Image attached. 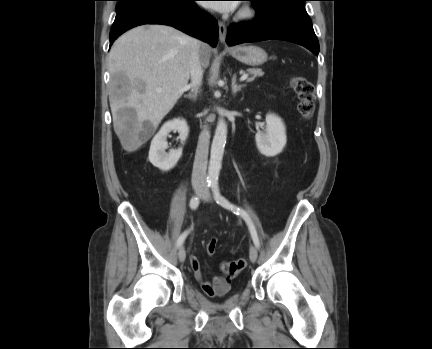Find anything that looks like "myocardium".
<instances>
[{"instance_id": "myocardium-1", "label": "myocardium", "mask_w": 432, "mask_h": 349, "mask_svg": "<svg viewBox=\"0 0 432 349\" xmlns=\"http://www.w3.org/2000/svg\"><path fill=\"white\" fill-rule=\"evenodd\" d=\"M254 14V11L251 7H244L238 14L239 19H248Z\"/></svg>"}]
</instances>
